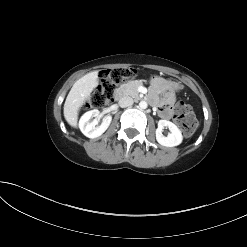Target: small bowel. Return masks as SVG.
I'll return each mask as SVG.
<instances>
[{"label":"small bowel","instance_id":"obj_1","mask_svg":"<svg viewBox=\"0 0 247 247\" xmlns=\"http://www.w3.org/2000/svg\"><path fill=\"white\" fill-rule=\"evenodd\" d=\"M152 92L148 96V101L158 106L161 117L169 119L172 116L175 95L171 90L169 83L161 78H156L151 84ZM162 93V98L159 94Z\"/></svg>","mask_w":247,"mask_h":247}]
</instances>
